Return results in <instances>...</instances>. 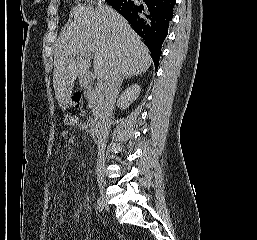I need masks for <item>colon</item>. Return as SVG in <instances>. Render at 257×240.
Returning <instances> with one entry per match:
<instances>
[{"mask_svg":"<svg viewBox=\"0 0 257 240\" xmlns=\"http://www.w3.org/2000/svg\"><path fill=\"white\" fill-rule=\"evenodd\" d=\"M81 94L80 93H74L71 96L70 99V105L72 108L77 109L81 106Z\"/></svg>","mask_w":257,"mask_h":240,"instance_id":"1","label":"colon"}]
</instances>
